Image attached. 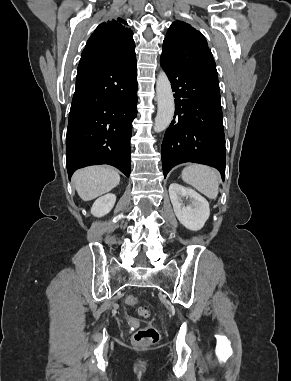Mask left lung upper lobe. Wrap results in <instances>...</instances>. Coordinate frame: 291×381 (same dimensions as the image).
<instances>
[{
	"instance_id": "left-lung-upper-lobe-1",
	"label": "left lung upper lobe",
	"mask_w": 291,
	"mask_h": 381,
	"mask_svg": "<svg viewBox=\"0 0 291 381\" xmlns=\"http://www.w3.org/2000/svg\"><path fill=\"white\" fill-rule=\"evenodd\" d=\"M162 56L197 77L218 81L216 64L205 37L185 22L172 23L163 42Z\"/></svg>"
}]
</instances>
